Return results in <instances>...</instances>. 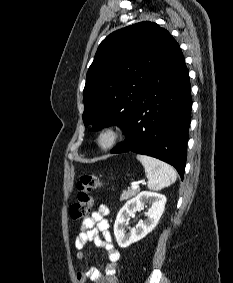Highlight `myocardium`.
Instances as JSON below:
<instances>
[{
  "mask_svg": "<svg viewBox=\"0 0 233 283\" xmlns=\"http://www.w3.org/2000/svg\"><path fill=\"white\" fill-rule=\"evenodd\" d=\"M123 129L117 124H107L96 134V146L102 151L113 149L122 139Z\"/></svg>",
  "mask_w": 233,
  "mask_h": 283,
  "instance_id": "f54148a6",
  "label": "myocardium"
}]
</instances>
